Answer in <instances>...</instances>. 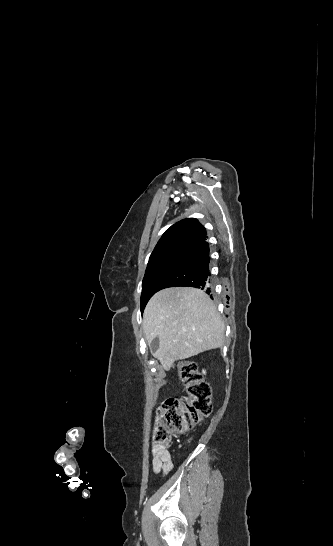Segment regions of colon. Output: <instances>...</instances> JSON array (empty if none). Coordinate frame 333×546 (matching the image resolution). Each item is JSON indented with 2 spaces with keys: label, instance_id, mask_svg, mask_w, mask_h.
<instances>
[{
  "label": "colon",
  "instance_id": "obj_1",
  "mask_svg": "<svg viewBox=\"0 0 333 546\" xmlns=\"http://www.w3.org/2000/svg\"><path fill=\"white\" fill-rule=\"evenodd\" d=\"M176 369L186 388L187 397L168 398L159 407L153 442L162 447H168L173 434L192 430L212 411L210 386L196 364L181 361Z\"/></svg>",
  "mask_w": 333,
  "mask_h": 546
}]
</instances>
